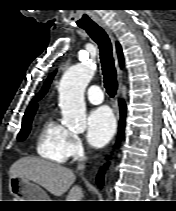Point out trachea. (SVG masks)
<instances>
[{"mask_svg":"<svg viewBox=\"0 0 176 211\" xmlns=\"http://www.w3.org/2000/svg\"><path fill=\"white\" fill-rule=\"evenodd\" d=\"M82 28L99 46L104 87L106 88L108 95L114 97L118 88V83L110 39L104 29L97 24L84 26Z\"/></svg>","mask_w":176,"mask_h":211,"instance_id":"trachea-1","label":"trachea"}]
</instances>
